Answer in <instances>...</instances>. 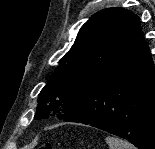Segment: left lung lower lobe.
Returning a JSON list of instances; mask_svg holds the SVG:
<instances>
[{
    "mask_svg": "<svg viewBox=\"0 0 155 149\" xmlns=\"http://www.w3.org/2000/svg\"><path fill=\"white\" fill-rule=\"evenodd\" d=\"M64 121L105 130L139 149H155V70L139 23L105 74Z\"/></svg>",
    "mask_w": 155,
    "mask_h": 149,
    "instance_id": "1",
    "label": "left lung lower lobe"
}]
</instances>
